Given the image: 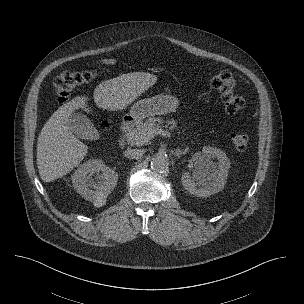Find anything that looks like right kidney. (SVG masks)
I'll return each instance as SVG.
<instances>
[{"mask_svg":"<svg viewBox=\"0 0 304 304\" xmlns=\"http://www.w3.org/2000/svg\"><path fill=\"white\" fill-rule=\"evenodd\" d=\"M117 180L118 174L98 159L84 162L72 175L73 187L77 193L88 201H98L99 206L105 203Z\"/></svg>","mask_w":304,"mask_h":304,"instance_id":"obj_1","label":"right kidney"}]
</instances>
